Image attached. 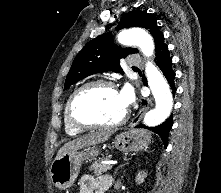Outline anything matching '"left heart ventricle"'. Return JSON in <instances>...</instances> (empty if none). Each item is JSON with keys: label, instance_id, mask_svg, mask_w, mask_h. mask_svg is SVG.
<instances>
[{"label": "left heart ventricle", "instance_id": "b2bd125f", "mask_svg": "<svg viewBox=\"0 0 221 193\" xmlns=\"http://www.w3.org/2000/svg\"><path fill=\"white\" fill-rule=\"evenodd\" d=\"M125 112L119 92L108 87L98 86L86 90L75 105L76 116L87 122H114Z\"/></svg>", "mask_w": 221, "mask_h": 193}]
</instances>
